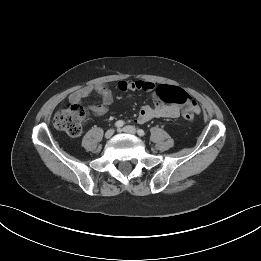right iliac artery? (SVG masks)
Returning <instances> with one entry per match:
<instances>
[{"instance_id":"right-iliac-artery-1","label":"right iliac artery","mask_w":261,"mask_h":261,"mask_svg":"<svg viewBox=\"0 0 261 261\" xmlns=\"http://www.w3.org/2000/svg\"><path fill=\"white\" fill-rule=\"evenodd\" d=\"M124 125V121H122V120H118L116 123H115V126L117 127V128H120V127H122Z\"/></svg>"}]
</instances>
